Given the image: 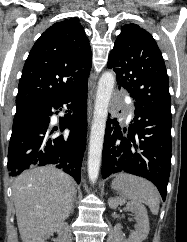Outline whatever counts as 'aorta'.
Masks as SVG:
<instances>
[{
  "label": "aorta",
  "instance_id": "762f6f07",
  "mask_svg": "<svg viewBox=\"0 0 187 242\" xmlns=\"http://www.w3.org/2000/svg\"><path fill=\"white\" fill-rule=\"evenodd\" d=\"M114 84L115 75L110 71L104 72L98 82L88 152V177L92 182L99 175L108 105Z\"/></svg>",
  "mask_w": 187,
  "mask_h": 242
}]
</instances>
